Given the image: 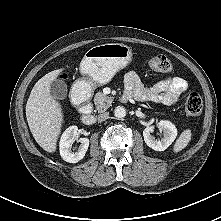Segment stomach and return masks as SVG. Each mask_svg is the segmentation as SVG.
Segmentation results:
<instances>
[{
    "mask_svg": "<svg viewBox=\"0 0 221 221\" xmlns=\"http://www.w3.org/2000/svg\"><path fill=\"white\" fill-rule=\"evenodd\" d=\"M132 59V50L122 43H108L89 49L81 63L83 78L77 84H83L88 90L111 81L114 75L125 68Z\"/></svg>",
    "mask_w": 221,
    "mask_h": 221,
    "instance_id": "obj_1",
    "label": "stomach"
}]
</instances>
